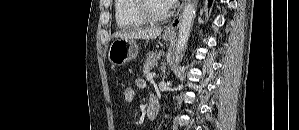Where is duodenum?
Returning <instances> with one entry per match:
<instances>
[{"label": "duodenum", "instance_id": "duodenum-1", "mask_svg": "<svg viewBox=\"0 0 299 130\" xmlns=\"http://www.w3.org/2000/svg\"><path fill=\"white\" fill-rule=\"evenodd\" d=\"M159 114V104L156 98L151 97L147 106V115L150 121L156 120Z\"/></svg>", "mask_w": 299, "mask_h": 130}]
</instances>
